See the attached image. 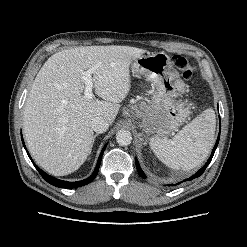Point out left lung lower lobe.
I'll use <instances>...</instances> for the list:
<instances>
[{
  "mask_svg": "<svg viewBox=\"0 0 247 247\" xmlns=\"http://www.w3.org/2000/svg\"><path fill=\"white\" fill-rule=\"evenodd\" d=\"M219 138H220V133H219V135H218L217 142H216V144H215V146H214V148H213V150H212L211 156L209 157V159H208V161L206 162V164H205V165H204V166H203V167H202L195 175H193L192 177H190V178L184 180L183 182L188 181V180H192V179H194V178H196V177H199V176L205 171V169L207 168V166L209 165V163L211 162V160H212V158H213V155H214V153H215V150H216L217 145H218V142H219ZM135 162H136V168H137V171H138L139 175H140L142 178H146L145 174L143 173V171H142V169H141V167H140V165H139V163H138L137 158H135ZM180 183H181V182H178L177 184H180ZM177 184H174V185H177ZM174 185H171V186H174Z\"/></svg>",
  "mask_w": 247,
  "mask_h": 247,
  "instance_id": "1",
  "label": "left lung lower lobe"
}]
</instances>
